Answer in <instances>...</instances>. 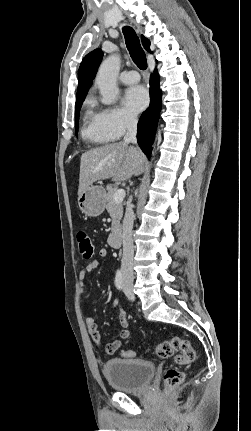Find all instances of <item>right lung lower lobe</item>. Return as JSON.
<instances>
[{
  "mask_svg": "<svg viewBox=\"0 0 251 431\" xmlns=\"http://www.w3.org/2000/svg\"><path fill=\"white\" fill-rule=\"evenodd\" d=\"M161 95L159 75L155 69V73L150 78V106L142 113L137 126V141L147 157L151 156L152 144L156 134L161 110Z\"/></svg>",
  "mask_w": 251,
  "mask_h": 431,
  "instance_id": "obj_1",
  "label": "right lung lower lobe"
}]
</instances>
